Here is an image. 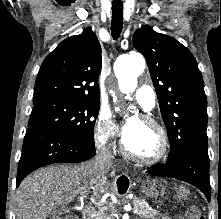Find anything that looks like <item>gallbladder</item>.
<instances>
[{
    "mask_svg": "<svg viewBox=\"0 0 221 219\" xmlns=\"http://www.w3.org/2000/svg\"><path fill=\"white\" fill-rule=\"evenodd\" d=\"M66 212L65 208H57L55 211L51 212L50 219H60V216Z\"/></svg>",
    "mask_w": 221,
    "mask_h": 219,
    "instance_id": "1",
    "label": "gallbladder"
}]
</instances>
